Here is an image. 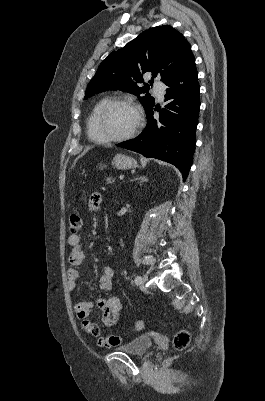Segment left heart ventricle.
I'll list each match as a JSON object with an SVG mask.
<instances>
[{
    "mask_svg": "<svg viewBox=\"0 0 265 401\" xmlns=\"http://www.w3.org/2000/svg\"><path fill=\"white\" fill-rule=\"evenodd\" d=\"M136 111L129 105H117L102 116L99 132L105 137L121 136L129 132L136 123Z\"/></svg>",
    "mask_w": 265,
    "mask_h": 401,
    "instance_id": "b2bd125f",
    "label": "left heart ventricle"
}]
</instances>
